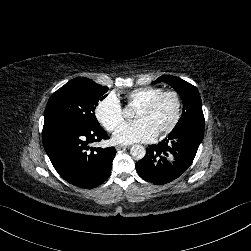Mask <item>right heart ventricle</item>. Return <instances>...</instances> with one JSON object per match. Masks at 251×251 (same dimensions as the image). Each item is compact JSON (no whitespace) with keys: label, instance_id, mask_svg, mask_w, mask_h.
I'll list each match as a JSON object with an SVG mask.
<instances>
[{"label":"right heart ventricle","instance_id":"1","mask_svg":"<svg viewBox=\"0 0 251 251\" xmlns=\"http://www.w3.org/2000/svg\"><path fill=\"white\" fill-rule=\"evenodd\" d=\"M162 91H164V89L157 86L136 88L127 94V101L129 105H137L140 107L142 104L148 102Z\"/></svg>","mask_w":251,"mask_h":251}]
</instances>
